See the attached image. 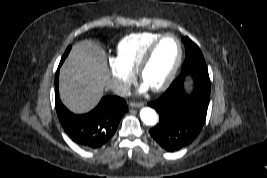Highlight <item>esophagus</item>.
Listing matches in <instances>:
<instances>
[{
    "label": "esophagus",
    "instance_id": "obj_1",
    "mask_svg": "<svg viewBox=\"0 0 267 178\" xmlns=\"http://www.w3.org/2000/svg\"><path fill=\"white\" fill-rule=\"evenodd\" d=\"M129 105L133 108H138L144 106L142 102H130Z\"/></svg>",
    "mask_w": 267,
    "mask_h": 178
}]
</instances>
